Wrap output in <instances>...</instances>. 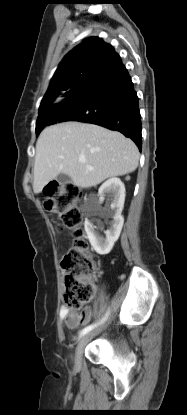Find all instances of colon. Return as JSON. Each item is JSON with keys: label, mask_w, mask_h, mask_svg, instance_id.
<instances>
[{"label": "colon", "mask_w": 187, "mask_h": 415, "mask_svg": "<svg viewBox=\"0 0 187 415\" xmlns=\"http://www.w3.org/2000/svg\"><path fill=\"white\" fill-rule=\"evenodd\" d=\"M45 209L58 217L60 228L72 229L75 241L62 262L64 302L68 309L78 310L89 303L96 287L91 280L95 268L82 230V216L77 207L80 189L72 183L50 182L44 189Z\"/></svg>", "instance_id": "1"}]
</instances>
